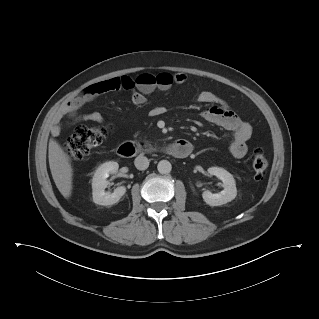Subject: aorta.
<instances>
[{
	"label": "aorta",
	"mask_w": 319,
	"mask_h": 319,
	"mask_svg": "<svg viewBox=\"0 0 319 319\" xmlns=\"http://www.w3.org/2000/svg\"><path fill=\"white\" fill-rule=\"evenodd\" d=\"M157 169L160 174H168L172 170V165L167 160H161L157 165Z\"/></svg>",
	"instance_id": "aorta-1"
}]
</instances>
